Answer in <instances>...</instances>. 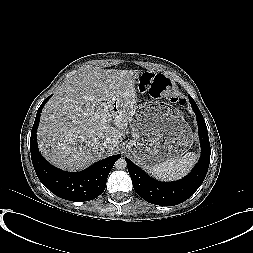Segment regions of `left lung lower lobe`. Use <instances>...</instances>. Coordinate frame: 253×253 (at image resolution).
<instances>
[{"mask_svg": "<svg viewBox=\"0 0 253 253\" xmlns=\"http://www.w3.org/2000/svg\"><path fill=\"white\" fill-rule=\"evenodd\" d=\"M189 100L197 117L201 157L194 169L185 178L175 182H159L150 178L142 169L125 158L134 190L149 203L161 206L180 204L194 194L207 174L211 154L207 127L191 96H189Z\"/></svg>", "mask_w": 253, "mask_h": 253, "instance_id": "left-lung-lower-lobe-1", "label": "left lung lower lobe"}]
</instances>
